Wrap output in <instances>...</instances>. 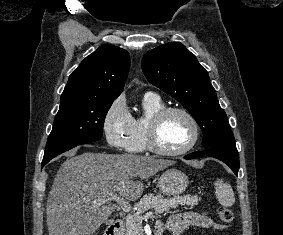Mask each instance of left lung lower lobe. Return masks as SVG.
Masks as SVG:
<instances>
[{"label":"left lung lower lobe","instance_id":"1","mask_svg":"<svg viewBox=\"0 0 283 235\" xmlns=\"http://www.w3.org/2000/svg\"><path fill=\"white\" fill-rule=\"evenodd\" d=\"M210 156L217 158L226 163L232 171L238 175L239 170V155L236 146H218L207 148L204 151H197L186 155L185 159H194L201 156Z\"/></svg>","mask_w":283,"mask_h":235}]
</instances>
